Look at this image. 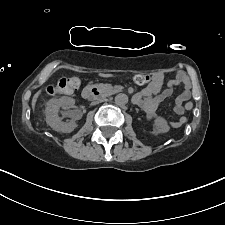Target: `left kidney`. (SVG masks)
Here are the masks:
<instances>
[{
  "label": "left kidney",
  "instance_id": "obj_1",
  "mask_svg": "<svg viewBox=\"0 0 225 225\" xmlns=\"http://www.w3.org/2000/svg\"><path fill=\"white\" fill-rule=\"evenodd\" d=\"M170 130V126L163 117H157L154 120V132L155 133H166Z\"/></svg>",
  "mask_w": 225,
  "mask_h": 225
}]
</instances>
